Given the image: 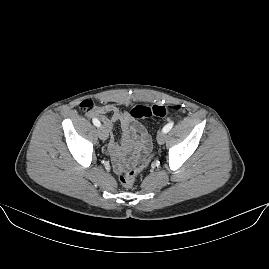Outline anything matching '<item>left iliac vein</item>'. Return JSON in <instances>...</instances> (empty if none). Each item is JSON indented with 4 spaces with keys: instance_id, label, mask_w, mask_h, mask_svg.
<instances>
[{
    "instance_id": "left-iliac-vein-1",
    "label": "left iliac vein",
    "mask_w": 269,
    "mask_h": 269,
    "mask_svg": "<svg viewBox=\"0 0 269 269\" xmlns=\"http://www.w3.org/2000/svg\"><path fill=\"white\" fill-rule=\"evenodd\" d=\"M165 139H166V134L163 131L159 132L157 135V142L159 144H163L165 142Z\"/></svg>"
}]
</instances>
